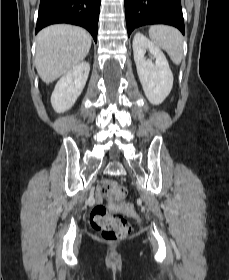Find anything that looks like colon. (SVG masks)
<instances>
[{
    "mask_svg": "<svg viewBox=\"0 0 229 280\" xmlns=\"http://www.w3.org/2000/svg\"><path fill=\"white\" fill-rule=\"evenodd\" d=\"M101 194L108 200L121 201L127 194V189L113 180H103L100 183ZM131 210V207L128 208ZM90 222L106 240H114L126 236L130 227L126 219L119 214H112L104 205L95 206L90 213Z\"/></svg>",
    "mask_w": 229,
    "mask_h": 280,
    "instance_id": "obj_1",
    "label": "colon"
}]
</instances>
